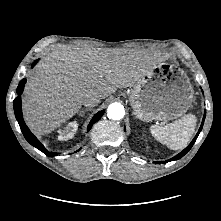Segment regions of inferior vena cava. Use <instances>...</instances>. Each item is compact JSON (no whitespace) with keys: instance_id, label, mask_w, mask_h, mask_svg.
<instances>
[{"instance_id":"602c4592","label":"inferior vena cava","mask_w":221,"mask_h":221,"mask_svg":"<svg viewBox=\"0 0 221 221\" xmlns=\"http://www.w3.org/2000/svg\"><path fill=\"white\" fill-rule=\"evenodd\" d=\"M100 99L93 93H87L83 98V105L87 108H93L98 105Z\"/></svg>"}]
</instances>
